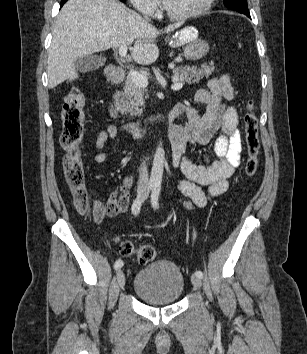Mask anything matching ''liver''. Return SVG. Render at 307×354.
Instances as JSON below:
<instances>
[{
    "label": "liver",
    "mask_w": 307,
    "mask_h": 354,
    "mask_svg": "<svg viewBox=\"0 0 307 354\" xmlns=\"http://www.w3.org/2000/svg\"><path fill=\"white\" fill-rule=\"evenodd\" d=\"M180 23L169 25L172 32ZM160 34L139 14L118 0H69L61 9L53 30L48 52V87L78 78L76 59L112 47L131 45L135 62L148 65L155 62L159 49L155 43Z\"/></svg>",
    "instance_id": "1"
}]
</instances>
